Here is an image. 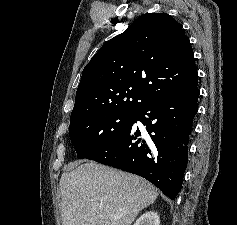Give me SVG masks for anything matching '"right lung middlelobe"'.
I'll return each mask as SVG.
<instances>
[{"label": "right lung middle lobe", "mask_w": 237, "mask_h": 225, "mask_svg": "<svg viewBox=\"0 0 237 225\" xmlns=\"http://www.w3.org/2000/svg\"><path fill=\"white\" fill-rule=\"evenodd\" d=\"M136 112H107L70 124L69 136L79 159L100 150L125 131Z\"/></svg>", "instance_id": "dd1d6c3e"}]
</instances>
